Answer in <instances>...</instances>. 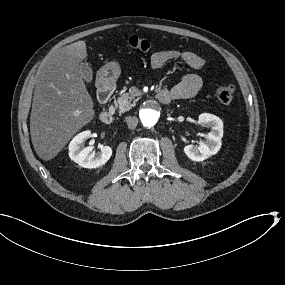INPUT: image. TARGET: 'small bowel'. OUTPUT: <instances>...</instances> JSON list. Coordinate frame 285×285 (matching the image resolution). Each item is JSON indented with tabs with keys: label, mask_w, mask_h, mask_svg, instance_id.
Wrapping results in <instances>:
<instances>
[{
	"label": "small bowel",
	"mask_w": 285,
	"mask_h": 285,
	"mask_svg": "<svg viewBox=\"0 0 285 285\" xmlns=\"http://www.w3.org/2000/svg\"><path fill=\"white\" fill-rule=\"evenodd\" d=\"M171 60H180L195 70L203 69L206 64L205 60L194 52L174 49L154 52L151 55L150 64L153 69H159ZM202 84V77L199 74L190 73L168 91L172 94L173 99H190L199 93Z\"/></svg>",
	"instance_id": "1"
}]
</instances>
